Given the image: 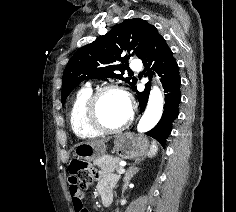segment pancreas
<instances>
[{
    "label": "pancreas",
    "instance_id": "obj_1",
    "mask_svg": "<svg viewBox=\"0 0 236 212\" xmlns=\"http://www.w3.org/2000/svg\"><path fill=\"white\" fill-rule=\"evenodd\" d=\"M120 161L121 159L119 157L105 156L102 159L95 160L93 164L98 166L102 173L110 174L122 168Z\"/></svg>",
    "mask_w": 236,
    "mask_h": 212
}]
</instances>
